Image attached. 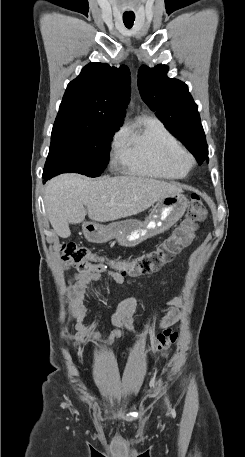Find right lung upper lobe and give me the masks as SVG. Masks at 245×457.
Instances as JSON below:
<instances>
[{
	"label": "right lung upper lobe",
	"mask_w": 245,
	"mask_h": 457,
	"mask_svg": "<svg viewBox=\"0 0 245 457\" xmlns=\"http://www.w3.org/2000/svg\"><path fill=\"white\" fill-rule=\"evenodd\" d=\"M129 98L127 66L115 68L104 63H89L68 84L58 115L123 122Z\"/></svg>",
	"instance_id": "right-lung-upper-lobe-1"
}]
</instances>
